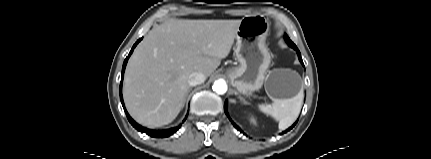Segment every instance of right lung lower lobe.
Here are the masks:
<instances>
[{"mask_svg": "<svg viewBox=\"0 0 431 159\" xmlns=\"http://www.w3.org/2000/svg\"><path fill=\"white\" fill-rule=\"evenodd\" d=\"M141 41V39H139L135 44H134V46L132 47V49H131V51H130V53H129V55H128V57L125 59V61H124V63H123V67H122V79H121V82H120V99H121V103H122V106H123V108H124V111H125V113H126V116H127V118H128V120H129V122L131 123V125H133V127L135 128V129H137L138 131H141V132H143V133H146V134H148L149 136H151V137H157V138H164V137H168V136H170V135H172V134H174L179 128H180V126H178V127H174V128H171V129H166V130H150V129H147V128H144V127H142V126H140L139 124H137L130 116H129V114L127 113V111H126V109H125V107H124V102H123V98H122V82H123V76H124V71H125V67H126V64H127V61H128V58L130 57V55L132 54V52H133V50H134V48H135V46L139 43ZM186 118H187V116L185 117V119L183 120V122L186 120Z\"/></svg>", "mask_w": 431, "mask_h": 159, "instance_id": "1", "label": "right lung lower lobe"}]
</instances>
